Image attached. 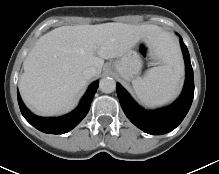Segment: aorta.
Listing matches in <instances>:
<instances>
[{"instance_id":"aorta-1","label":"aorta","mask_w":219,"mask_h":174,"mask_svg":"<svg viewBox=\"0 0 219 174\" xmlns=\"http://www.w3.org/2000/svg\"><path fill=\"white\" fill-rule=\"evenodd\" d=\"M99 88L103 93H112L116 89V82L110 77L103 78L100 80Z\"/></svg>"}]
</instances>
